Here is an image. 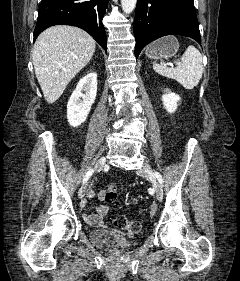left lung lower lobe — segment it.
<instances>
[{"instance_id": "obj_1", "label": "left lung lower lobe", "mask_w": 240, "mask_h": 281, "mask_svg": "<svg viewBox=\"0 0 240 281\" xmlns=\"http://www.w3.org/2000/svg\"><path fill=\"white\" fill-rule=\"evenodd\" d=\"M135 56L165 35L191 37L201 43L193 0H137L134 27Z\"/></svg>"}]
</instances>
